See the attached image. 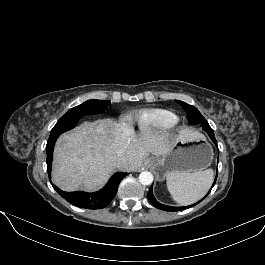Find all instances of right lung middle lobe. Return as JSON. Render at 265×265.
<instances>
[{"label":"right lung middle lobe","mask_w":265,"mask_h":265,"mask_svg":"<svg viewBox=\"0 0 265 265\" xmlns=\"http://www.w3.org/2000/svg\"><path fill=\"white\" fill-rule=\"evenodd\" d=\"M110 101L107 100H88L79 106L71 108L66 114H64L57 123L65 122L70 118H81L85 115H95L103 113Z\"/></svg>","instance_id":"right-lung-middle-lobe-1"}]
</instances>
